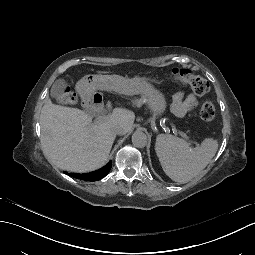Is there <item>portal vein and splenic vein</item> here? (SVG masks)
Listing matches in <instances>:
<instances>
[{"label": "portal vein and splenic vein", "instance_id": "obj_1", "mask_svg": "<svg viewBox=\"0 0 255 255\" xmlns=\"http://www.w3.org/2000/svg\"><path fill=\"white\" fill-rule=\"evenodd\" d=\"M111 116H116V111H111V114L109 112H106L105 114H99L93 118V121L95 123H98L99 121H102L104 119H110ZM183 138L187 139V141H190V137H188L185 133L180 134ZM190 146H193V143H190Z\"/></svg>", "mask_w": 255, "mask_h": 255}]
</instances>
